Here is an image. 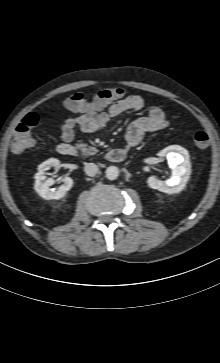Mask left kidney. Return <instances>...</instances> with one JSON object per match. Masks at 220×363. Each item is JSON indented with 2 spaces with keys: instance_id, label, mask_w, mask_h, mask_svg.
<instances>
[{
  "instance_id": "1",
  "label": "left kidney",
  "mask_w": 220,
  "mask_h": 363,
  "mask_svg": "<svg viewBox=\"0 0 220 363\" xmlns=\"http://www.w3.org/2000/svg\"><path fill=\"white\" fill-rule=\"evenodd\" d=\"M160 157H167L168 164L172 169V177L161 181L154 176L147 179L148 186L164 193L180 192L186 185L191 174V163L188 151L181 146L172 145L158 153Z\"/></svg>"
}]
</instances>
